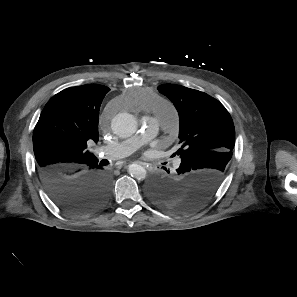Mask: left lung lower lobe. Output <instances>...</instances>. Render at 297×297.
I'll list each match as a JSON object with an SVG mask.
<instances>
[{
    "instance_id": "1",
    "label": "left lung lower lobe",
    "mask_w": 297,
    "mask_h": 297,
    "mask_svg": "<svg viewBox=\"0 0 297 297\" xmlns=\"http://www.w3.org/2000/svg\"><path fill=\"white\" fill-rule=\"evenodd\" d=\"M176 171L177 174L175 175L179 177L183 175V172L187 173L182 166H180ZM197 181H199L200 184L196 186L195 190L187 194V200H185L184 204L177 206V208L171 211L178 213L192 212L199 207L198 205L203 197L210 195L213 191H215L216 180L212 176L201 175L198 176ZM177 187V182L173 179V177L165 175L153 179L149 185L148 192L149 195H162L164 193L166 194L176 191Z\"/></svg>"
}]
</instances>
